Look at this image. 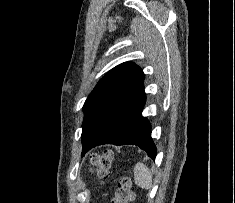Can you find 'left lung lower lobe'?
Masks as SVG:
<instances>
[{
	"label": "left lung lower lobe",
	"mask_w": 235,
	"mask_h": 203,
	"mask_svg": "<svg viewBox=\"0 0 235 203\" xmlns=\"http://www.w3.org/2000/svg\"><path fill=\"white\" fill-rule=\"evenodd\" d=\"M145 101L146 96L142 82L127 99L111 123L84 153L98 145L127 144L138 146L146 151L149 157L155 159L156 147L151 138V125L141 114Z\"/></svg>",
	"instance_id": "1"
}]
</instances>
